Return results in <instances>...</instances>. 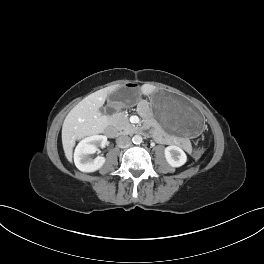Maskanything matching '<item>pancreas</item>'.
I'll return each instance as SVG.
<instances>
[{
  "mask_svg": "<svg viewBox=\"0 0 264 264\" xmlns=\"http://www.w3.org/2000/svg\"><path fill=\"white\" fill-rule=\"evenodd\" d=\"M113 125L119 130L125 133L129 132L133 125L130 124L128 116L124 112H117L113 116Z\"/></svg>",
  "mask_w": 264,
  "mask_h": 264,
  "instance_id": "obj_1",
  "label": "pancreas"
}]
</instances>
